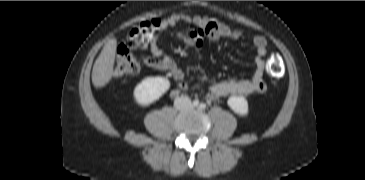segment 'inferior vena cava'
I'll list each match as a JSON object with an SVG mask.
<instances>
[{
	"mask_svg": "<svg viewBox=\"0 0 365 180\" xmlns=\"http://www.w3.org/2000/svg\"><path fill=\"white\" fill-rule=\"evenodd\" d=\"M174 106L176 109H187L191 106V100L188 97L181 96L175 99Z\"/></svg>",
	"mask_w": 365,
	"mask_h": 180,
	"instance_id": "1",
	"label": "inferior vena cava"
}]
</instances>
